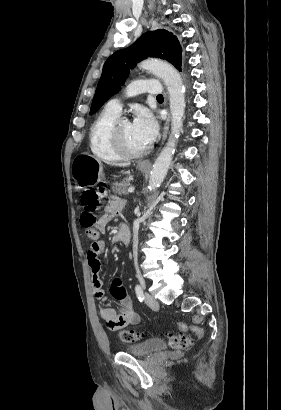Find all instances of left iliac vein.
<instances>
[{
  "mask_svg": "<svg viewBox=\"0 0 281 410\" xmlns=\"http://www.w3.org/2000/svg\"><path fill=\"white\" fill-rule=\"evenodd\" d=\"M144 301H145V303H146L149 307H151V308H156V307H158V302H157V300H156L152 295H150V294H148V293H145Z\"/></svg>",
  "mask_w": 281,
  "mask_h": 410,
  "instance_id": "obj_1",
  "label": "left iliac vein"
}]
</instances>
